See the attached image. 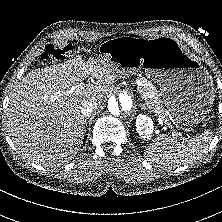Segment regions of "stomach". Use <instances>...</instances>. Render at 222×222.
Instances as JSON below:
<instances>
[{
	"label": "stomach",
	"instance_id": "1",
	"mask_svg": "<svg viewBox=\"0 0 222 222\" xmlns=\"http://www.w3.org/2000/svg\"><path fill=\"white\" fill-rule=\"evenodd\" d=\"M97 60L125 74L142 68L160 87L165 105L175 120L184 126L202 122L213 105L212 77L173 37L113 38L99 46Z\"/></svg>",
	"mask_w": 222,
	"mask_h": 222
}]
</instances>
